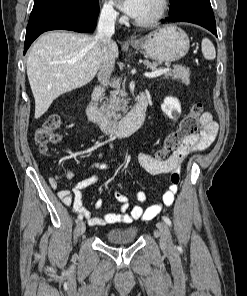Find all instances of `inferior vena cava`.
I'll use <instances>...</instances> for the list:
<instances>
[{
    "label": "inferior vena cava",
    "instance_id": "1",
    "mask_svg": "<svg viewBox=\"0 0 247 296\" xmlns=\"http://www.w3.org/2000/svg\"><path fill=\"white\" fill-rule=\"evenodd\" d=\"M117 13L112 7H104L101 11L98 25L97 37L102 47V62L98 72V80L108 87L110 85V75L114 70L115 60L111 53V36L115 31V20Z\"/></svg>",
    "mask_w": 247,
    "mask_h": 296
}]
</instances>
